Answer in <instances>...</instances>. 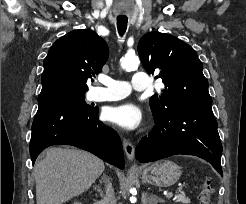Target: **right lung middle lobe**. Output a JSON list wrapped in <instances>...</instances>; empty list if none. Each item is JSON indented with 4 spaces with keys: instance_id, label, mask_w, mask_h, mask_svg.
Segmentation results:
<instances>
[{
    "instance_id": "1",
    "label": "right lung middle lobe",
    "mask_w": 246,
    "mask_h": 204,
    "mask_svg": "<svg viewBox=\"0 0 246 204\" xmlns=\"http://www.w3.org/2000/svg\"><path fill=\"white\" fill-rule=\"evenodd\" d=\"M55 98H71V99H77L82 102L83 107L85 108H91L90 105H87L85 102V93H68V94H63Z\"/></svg>"
}]
</instances>
